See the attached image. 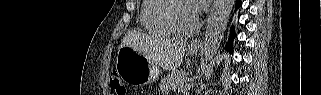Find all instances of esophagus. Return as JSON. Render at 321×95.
I'll use <instances>...</instances> for the list:
<instances>
[{
  "instance_id": "34e87169",
  "label": "esophagus",
  "mask_w": 321,
  "mask_h": 95,
  "mask_svg": "<svg viewBox=\"0 0 321 95\" xmlns=\"http://www.w3.org/2000/svg\"><path fill=\"white\" fill-rule=\"evenodd\" d=\"M200 45L199 42L195 41L191 44L192 47H198Z\"/></svg>"
}]
</instances>
